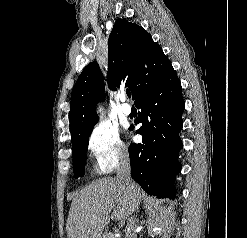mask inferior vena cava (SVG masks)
I'll return each instance as SVG.
<instances>
[{
  "instance_id": "1",
  "label": "inferior vena cava",
  "mask_w": 247,
  "mask_h": 238,
  "mask_svg": "<svg viewBox=\"0 0 247 238\" xmlns=\"http://www.w3.org/2000/svg\"><path fill=\"white\" fill-rule=\"evenodd\" d=\"M116 179L121 182L126 189L128 190L130 197L133 202L134 210L138 207L135 195H134V188L135 184L132 182L131 175H130V161L127 151H122L119 156V165L117 167V177ZM136 218L132 217L130 219V223L128 226V233L127 238H137L136 235Z\"/></svg>"
}]
</instances>
